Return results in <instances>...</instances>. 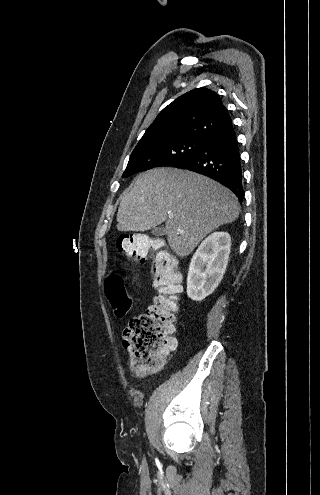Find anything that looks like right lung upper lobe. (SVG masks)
Masks as SVG:
<instances>
[{"label":"right lung upper lobe","mask_w":320,"mask_h":495,"mask_svg":"<svg viewBox=\"0 0 320 495\" xmlns=\"http://www.w3.org/2000/svg\"><path fill=\"white\" fill-rule=\"evenodd\" d=\"M220 96L207 88L193 89L167 105L148 127L137 146L185 138H206L231 123Z\"/></svg>","instance_id":"cb5924a9"}]
</instances>
